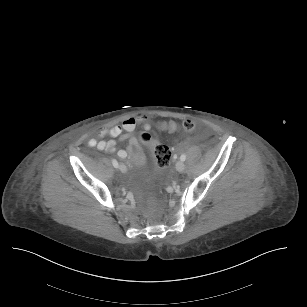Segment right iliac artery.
Returning <instances> with one entry per match:
<instances>
[{
  "mask_svg": "<svg viewBox=\"0 0 307 307\" xmlns=\"http://www.w3.org/2000/svg\"><path fill=\"white\" fill-rule=\"evenodd\" d=\"M112 164H113V166L115 167V168H118V162L115 160V159H113L112 160Z\"/></svg>",
  "mask_w": 307,
  "mask_h": 307,
  "instance_id": "82829eb1",
  "label": "right iliac artery"
}]
</instances>
